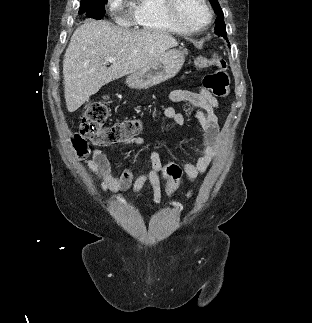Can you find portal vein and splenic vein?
<instances>
[{
	"mask_svg": "<svg viewBox=\"0 0 312 323\" xmlns=\"http://www.w3.org/2000/svg\"><path fill=\"white\" fill-rule=\"evenodd\" d=\"M106 62H110V64H115V62H117L116 58H114V56H111V58H108V60H106Z\"/></svg>",
	"mask_w": 312,
	"mask_h": 323,
	"instance_id": "18ae733b",
	"label": "portal vein and splenic vein"
}]
</instances>
